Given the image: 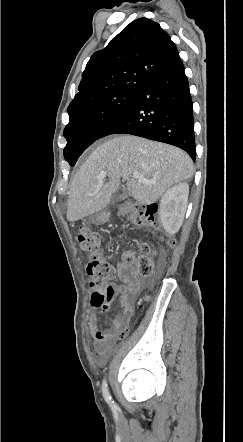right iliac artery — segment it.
<instances>
[{"mask_svg":"<svg viewBox=\"0 0 243 442\" xmlns=\"http://www.w3.org/2000/svg\"><path fill=\"white\" fill-rule=\"evenodd\" d=\"M102 392H103L104 399L109 404L111 409L112 410H116L117 409V405L114 403V401L112 400V398L110 396L106 380H104L103 383H102Z\"/></svg>","mask_w":243,"mask_h":442,"instance_id":"1","label":"right iliac artery"}]
</instances>
